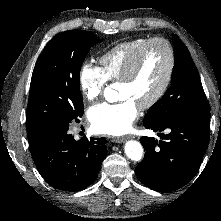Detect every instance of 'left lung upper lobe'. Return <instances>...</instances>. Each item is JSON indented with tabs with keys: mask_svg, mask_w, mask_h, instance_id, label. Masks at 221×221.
Segmentation results:
<instances>
[{
	"mask_svg": "<svg viewBox=\"0 0 221 221\" xmlns=\"http://www.w3.org/2000/svg\"><path fill=\"white\" fill-rule=\"evenodd\" d=\"M174 68L171 86L144 117V122L160 125L181 111L208 105L198 70L191 55L178 36H173Z\"/></svg>",
	"mask_w": 221,
	"mask_h": 221,
	"instance_id": "1",
	"label": "left lung upper lobe"
}]
</instances>
